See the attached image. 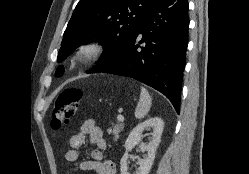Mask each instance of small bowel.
<instances>
[{"label": "small bowel", "instance_id": "1", "mask_svg": "<svg viewBox=\"0 0 249 174\" xmlns=\"http://www.w3.org/2000/svg\"><path fill=\"white\" fill-rule=\"evenodd\" d=\"M87 142L95 147L90 151L92 159L81 161L79 169L95 171L97 174H116L115 164L104 159L103 152L107 149L108 144L103 136V131L92 119L84 121L79 131L70 137L69 145L71 148L65 153V160L70 163L76 162L80 157L81 149Z\"/></svg>", "mask_w": 249, "mask_h": 174}]
</instances>
